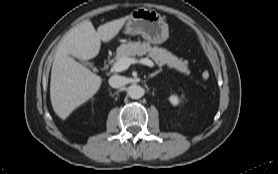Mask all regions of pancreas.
<instances>
[{"mask_svg":"<svg viewBox=\"0 0 278 174\" xmlns=\"http://www.w3.org/2000/svg\"><path fill=\"white\" fill-rule=\"evenodd\" d=\"M148 55L152 58L155 63L162 67L163 65H167L169 68L176 69L177 71L183 74H189L188 62L183 61L177 56L173 55L171 52H168L166 49L152 47L148 42H127L121 44L117 48L115 60L118 62L121 58H132L134 56H143Z\"/></svg>","mask_w":278,"mask_h":174,"instance_id":"1","label":"pancreas"}]
</instances>
